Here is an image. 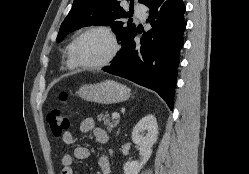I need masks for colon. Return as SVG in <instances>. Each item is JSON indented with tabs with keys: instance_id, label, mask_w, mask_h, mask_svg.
I'll return each instance as SVG.
<instances>
[{
	"instance_id": "colon-1",
	"label": "colon",
	"mask_w": 249,
	"mask_h": 174,
	"mask_svg": "<svg viewBox=\"0 0 249 174\" xmlns=\"http://www.w3.org/2000/svg\"><path fill=\"white\" fill-rule=\"evenodd\" d=\"M61 99H66V94H62ZM47 122L55 136H62L70 127L69 116L58 108H54L48 112Z\"/></svg>"
}]
</instances>
